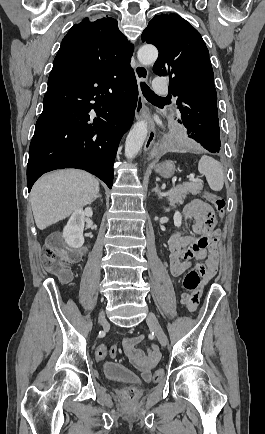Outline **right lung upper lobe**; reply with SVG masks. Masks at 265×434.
Instances as JSON below:
<instances>
[{
    "label": "right lung upper lobe",
    "mask_w": 265,
    "mask_h": 434,
    "mask_svg": "<svg viewBox=\"0 0 265 434\" xmlns=\"http://www.w3.org/2000/svg\"><path fill=\"white\" fill-rule=\"evenodd\" d=\"M133 48L112 17L84 18L63 38L53 69L99 70L131 60Z\"/></svg>",
    "instance_id": "1"
}]
</instances>
